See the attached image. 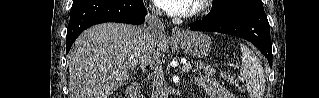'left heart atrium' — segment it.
<instances>
[{"label": "left heart atrium", "instance_id": "left-heart-atrium-1", "mask_svg": "<svg viewBox=\"0 0 319 98\" xmlns=\"http://www.w3.org/2000/svg\"><path fill=\"white\" fill-rule=\"evenodd\" d=\"M156 3L170 15H183L192 11L193 0H156Z\"/></svg>", "mask_w": 319, "mask_h": 98}]
</instances>
